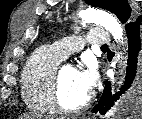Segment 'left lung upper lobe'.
Masks as SVG:
<instances>
[{"label":"left lung upper lobe","mask_w":142,"mask_h":119,"mask_svg":"<svg viewBox=\"0 0 142 119\" xmlns=\"http://www.w3.org/2000/svg\"><path fill=\"white\" fill-rule=\"evenodd\" d=\"M86 2L114 13L125 26L138 17V14L131 10L128 0H86Z\"/></svg>","instance_id":"5c2ea615"}]
</instances>
